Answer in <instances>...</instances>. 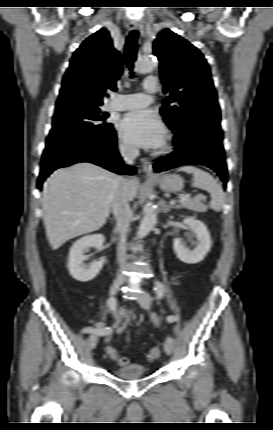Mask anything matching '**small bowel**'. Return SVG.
<instances>
[{"mask_svg":"<svg viewBox=\"0 0 273 430\" xmlns=\"http://www.w3.org/2000/svg\"><path fill=\"white\" fill-rule=\"evenodd\" d=\"M129 319L130 318H129V315L127 314V312L122 311L119 314V316L116 319V321L113 324V326L111 328L109 327L110 328V332L107 335H105V342H106V344L110 343L111 337H112V335H113L114 332L117 335H119V336H122L124 334L125 328H126V325L129 322ZM151 320H152V322L155 325L159 324V318H158V316L156 314L152 315ZM102 328H104V323L103 322H98L96 324V327H92V326H86V327H84L82 329V333H92L93 330H95V329H102ZM138 332H141V330H139ZM109 347H111V346L108 345L107 348H109Z\"/></svg>","mask_w":273,"mask_h":430,"instance_id":"small-bowel-1","label":"small bowel"}]
</instances>
